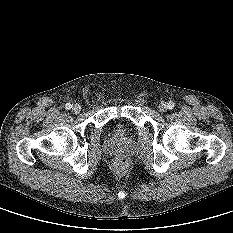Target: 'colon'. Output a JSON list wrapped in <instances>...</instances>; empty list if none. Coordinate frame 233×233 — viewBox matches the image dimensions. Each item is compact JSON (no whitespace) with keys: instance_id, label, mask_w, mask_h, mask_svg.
I'll return each mask as SVG.
<instances>
[{"instance_id":"obj_1","label":"colon","mask_w":233,"mask_h":233,"mask_svg":"<svg viewBox=\"0 0 233 233\" xmlns=\"http://www.w3.org/2000/svg\"><path fill=\"white\" fill-rule=\"evenodd\" d=\"M128 166V161L127 159L121 157V158H117L115 160V167L119 170H123Z\"/></svg>"}]
</instances>
